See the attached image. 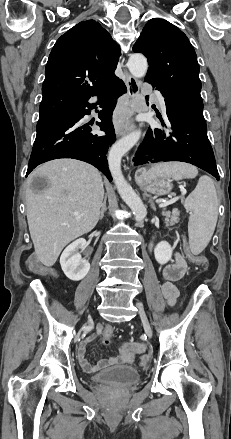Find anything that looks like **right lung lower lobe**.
I'll return each mask as SVG.
<instances>
[{
    "mask_svg": "<svg viewBox=\"0 0 231 439\" xmlns=\"http://www.w3.org/2000/svg\"><path fill=\"white\" fill-rule=\"evenodd\" d=\"M126 91L124 83L118 79L107 92L98 95L97 103L86 102L56 117L38 122L26 176L46 161L74 158L94 165L112 181L106 159L109 146L116 140L111 119L117 98ZM98 104L103 110L99 114L101 122H96V125L106 135L96 134L89 124L81 122L84 115L90 114V110Z\"/></svg>",
    "mask_w": 231,
    "mask_h": 439,
    "instance_id": "1",
    "label": "right lung lower lobe"
}]
</instances>
